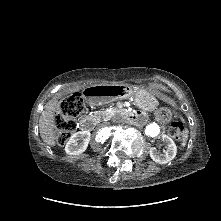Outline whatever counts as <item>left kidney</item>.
<instances>
[{
	"label": "left kidney",
	"instance_id": "left-kidney-1",
	"mask_svg": "<svg viewBox=\"0 0 221 221\" xmlns=\"http://www.w3.org/2000/svg\"><path fill=\"white\" fill-rule=\"evenodd\" d=\"M162 140L166 145V150H164L163 153H159L155 147H151L149 153L154 162L166 164L175 158L177 147L174 141L167 135H163Z\"/></svg>",
	"mask_w": 221,
	"mask_h": 221
}]
</instances>
